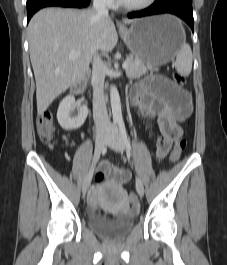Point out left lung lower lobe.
<instances>
[{
  "instance_id": "0a47b994",
  "label": "left lung lower lobe",
  "mask_w": 227,
  "mask_h": 265,
  "mask_svg": "<svg viewBox=\"0 0 227 265\" xmlns=\"http://www.w3.org/2000/svg\"><path fill=\"white\" fill-rule=\"evenodd\" d=\"M171 13L188 23L194 31L192 0H161L155 1L150 7L128 14L129 18L150 16L155 14Z\"/></svg>"
}]
</instances>
